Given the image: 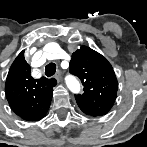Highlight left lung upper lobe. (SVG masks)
<instances>
[{"label": "left lung upper lobe", "instance_id": "1", "mask_svg": "<svg viewBox=\"0 0 147 147\" xmlns=\"http://www.w3.org/2000/svg\"><path fill=\"white\" fill-rule=\"evenodd\" d=\"M69 70L84 86V93L75 96L81 111L93 117L107 114L115 102L118 89L117 78L107 59L82 46L72 54Z\"/></svg>", "mask_w": 147, "mask_h": 147}]
</instances>
